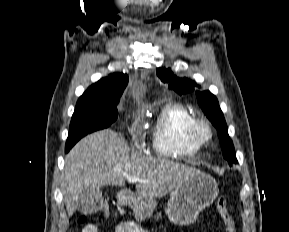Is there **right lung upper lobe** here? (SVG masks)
<instances>
[{"mask_svg": "<svg viewBox=\"0 0 289 232\" xmlns=\"http://www.w3.org/2000/svg\"><path fill=\"white\" fill-rule=\"evenodd\" d=\"M128 77L125 74L114 73L107 78H102L90 86L80 98H119L122 95Z\"/></svg>", "mask_w": 289, "mask_h": 232, "instance_id": "cb5924a9", "label": "right lung upper lobe"}]
</instances>
